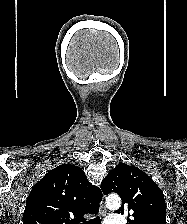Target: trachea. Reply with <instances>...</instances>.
I'll list each match as a JSON object with an SVG mask.
<instances>
[{"instance_id":"obj_1","label":"trachea","mask_w":187,"mask_h":224,"mask_svg":"<svg viewBox=\"0 0 187 224\" xmlns=\"http://www.w3.org/2000/svg\"><path fill=\"white\" fill-rule=\"evenodd\" d=\"M85 224H101V220L99 216L87 221Z\"/></svg>"}]
</instances>
